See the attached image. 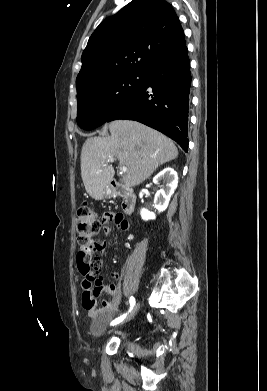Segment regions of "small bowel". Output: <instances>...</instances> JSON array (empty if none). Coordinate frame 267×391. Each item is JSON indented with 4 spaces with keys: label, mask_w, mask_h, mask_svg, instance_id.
Returning <instances> with one entry per match:
<instances>
[{
    "label": "small bowel",
    "mask_w": 267,
    "mask_h": 391,
    "mask_svg": "<svg viewBox=\"0 0 267 391\" xmlns=\"http://www.w3.org/2000/svg\"><path fill=\"white\" fill-rule=\"evenodd\" d=\"M103 220L105 223L115 222L122 231L129 229V223L119 214L106 212L103 215ZM107 232L111 233V230L107 229ZM77 265L82 277V305L84 309L94 313L97 309V299L103 292H107L111 296L110 301L103 303L105 308L111 309L118 305L121 300V293L114 285H104V277L101 272L102 258L100 256L88 252H79ZM110 277L113 280H118L120 275L117 272H112Z\"/></svg>",
    "instance_id": "small-bowel-1"
}]
</instances>
